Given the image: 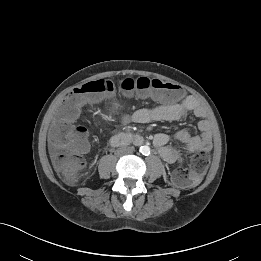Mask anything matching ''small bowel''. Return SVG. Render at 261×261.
<instances>
[{
    "label": "small bowel",
    "instance_id": "1",
    "mask_svg": "<svg viewBox=\"0 0 261 261\" xmlns=\"http://www.w3.org/2000/svg\"><path fill=\"white\" fill-rule=\"evenodd\" d=\"M188 113H193L198 120L199 135H193L186 129L179 130L175 139L188 152L209 151L212 147V133L209 121L205 118V109L193 96H187L179 103L168 105H155L136 110L132 115L125 114L121 117L122 125L130 122L149 123L152 121H178ZM153 142L158 149L160 156L168 163H176L183 160L181 152L170 146L169 136L165 133H158L154 136Z\"/></svg>",
    "mask_w": 261,
    "mask_h": 261
}]
</instances>
